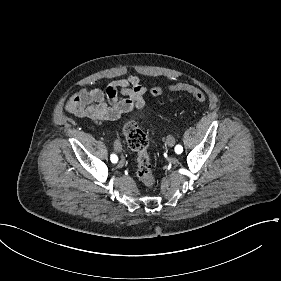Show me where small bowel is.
<instances>
[{
    "mask_svg": "<svg viewBox=\"0 0 281 281\" xmlns=\"http://www.w3.org/2000/svg\"><path fill=\"white\" fill-rule=\"evenodd\" d=\"M173 88V87H171ZM148 87L136 75L109 82L104 89L84 88L66 102V110L79 118L109 122L144 107Z\"/></svg>",
    "mask_w": 281,
    "mask_h": 281,
    "instance_id": "obj_1",
    "label": "small bowel"
}]
</instances>
